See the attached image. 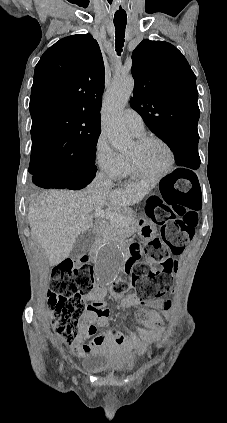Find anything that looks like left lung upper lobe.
<instances>
[{"mask_svg":"<svg viewBox=\"0 0 227 423\" xmlns=\"http://www.w3.org/2000/svg\"><path fill=\"white\" fill-rule=\"evenodd\" d=\"M131 106L167 141L198 133L196 76L183 54L165 41L143 40L132 53Z\"/></svg>","mask_w":227,"mask_h":423,"instance_id":"5c2ea615","label":"left lung upper lobe"}]
</instances>
